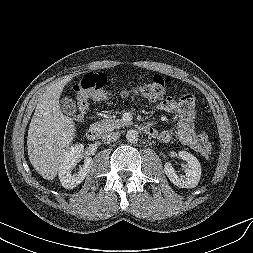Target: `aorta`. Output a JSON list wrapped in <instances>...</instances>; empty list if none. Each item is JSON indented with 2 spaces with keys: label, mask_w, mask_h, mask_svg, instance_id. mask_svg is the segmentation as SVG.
<instances>
[{
  "label": "aorta",
  "mask_w": 253,
  "mask_h": 253,
  "mask_svg": "<svg viewBox=\"0 0 253 253\" xmlns=\"http://www.w3.org/2000/svg\"><path fill=\"white\" fill-rule=\"evenodd\" d=\"M126 139L130 143H136L139 140V133L136 130H129L126 133Z\"/></svg>",
  "instance_id": "aorta-1"
}]
</instances>
